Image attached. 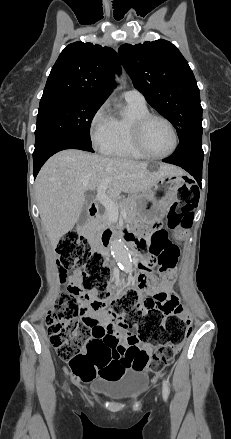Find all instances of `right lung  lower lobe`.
Listing matches in <instances>:
<instances>
[{"mask_svg":"<svg viewBox=\"0 0 231 439\" xmlns=\"http://www.w3.org/2000/svg\"><path fill=\"white\" fill-rule=\"evenodd\" d=\"M65 149H80L84 151L94 152V150L92 149V145L91 146L87 145L73 138H68V137L57 138L51 141L50 143H48L41 150L34 151L33 153L34 178L38 174L42 165L46 162V160L50 156Z\"/></svg>","mask_w":231,"mask_h":439,"instance_id":"right-lung-lower-lobe-1","label":"right lung lower lobe"}]
</instances>
